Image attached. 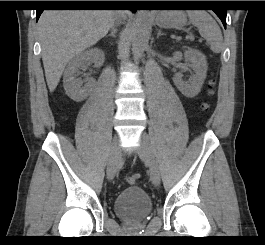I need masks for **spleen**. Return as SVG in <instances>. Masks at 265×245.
<instances>
[{"label": "spleen", "mask_w": 265, "mask_h": 245, "mask_svg": "<svg viewBox=\"0 0 265 245\" xmlns=\"http://www.w3.org/2000/svg\"><path fill=\"white\" fill-rule=\"evenodd\" d=\"M190 22L196 26L200 35L207 40L214 53L224 49L221 30L216 21L206 12L194 10L187 12Z\"/></svg>", "instance_id": "spleen-1"}]
</instances>
